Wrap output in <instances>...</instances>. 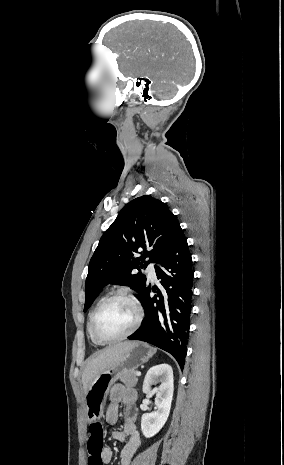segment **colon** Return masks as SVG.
Returning <instances> with one entry per match:
<instances>
[{"instance_id":"5ec220e1","label":"colon","mask_w":284,"mask_h":465,"mask_svg":"<svg viewBox=\"0 0 284 465\" xmlns=\"http://www.w3.org/2000/svg\"><path fill=\"white\" fill-rule=\"evenodd\" d=\"M87 435L88 438H92L89 440L87 445V450L89 452L87 464L102 465L101 450L104 447L105 442L103 439L98 438H105L106 426L101 425L99 421H94L92 423L91 429H88Z\"/></svg>"}]
</instances>
